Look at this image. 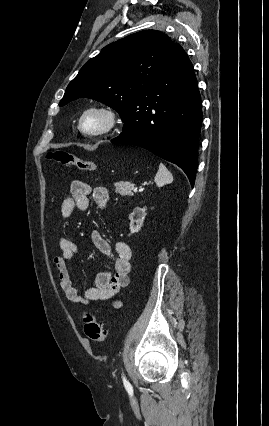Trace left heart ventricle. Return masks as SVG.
Wrapping results in <instances>:
<instances>
[{
    "mask_svg": "<svg viewBox=\"0 0 269 426\" xmlns=\"http://www.w3.org/2000/svg\"><path fill=\"white\" fill-rule=\"evenodd\" d=\"M103 123V119L98 115H89L85 121L84 126L88 130L96 129Z\"/></svg>",
    "mask_w": 269,
    "mask_h": 426,
    "instance_id": "b2bd125f",
    "label": "left heart ventricle"
}]
</instances>
